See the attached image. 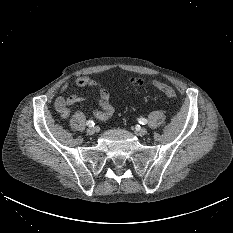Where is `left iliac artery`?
I'll return each mask as SVG.
<instances>
[{
	"label": "left iliac artery",
	"instance_id": "1",
	"mask_svg": "<svg viewBox=\"0 0 233 233\" xmlns=\"http://www.w3.org/2000/svg\"><path fill=\"white\" fill-rule=\"evenodd\" d=\"M139 123L142 125H145V124H147V120L145 118H140Z\"/></svg>",
	"mask_w": 233,
	"mask_h": 233
}]
</instances>
